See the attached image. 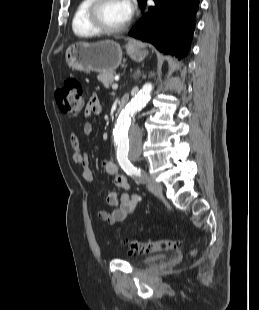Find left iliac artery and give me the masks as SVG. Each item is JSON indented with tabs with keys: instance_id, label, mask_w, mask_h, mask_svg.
Listing matches in <instances>:
<instances>
[{
	"instance_id": "left-iliac-artery-1",
	"label": "left iliac artery",
	"mask_w": 259,
	"mask_h": 310,
	"mask_svg": "<svg viewBox=\"0 0 259 310\" xmlns=\"http://www.w3.org/2000/svg\"><path fill=\"white\" fill-rule=\"evenodd\" d=\"M120 165L122 167V169L130 176L136 177V178H140V179H144L145 178V173L143 170H141L140 168H137L135 166H133L131 164L130 161H122L120 162Z\"/></svg>"
}]
</instances>
